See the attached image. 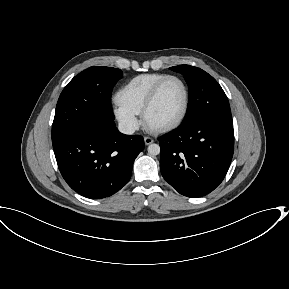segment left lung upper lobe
<instances>
[{
  "label": "left lung upper lobe",
  "instance_id": "obj_1",
  "mask_svg": "<svg viewBox=\"0 0 289 289\" xmlns=\"http://www.w3.org/2000/svg\"><path fill=\"white\" fill-rule=\"evenodd\" d=\"M170 69L183 74L189 87L187 113L181 125L204 118L232 124L228 99L211 75L190 65H179Z\"/></svg>",
  "mask_w": 289,
  "mask_h": 289
}]
</instances>
